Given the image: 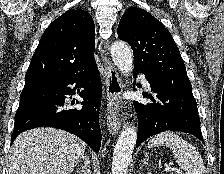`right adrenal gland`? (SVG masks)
<instances>
[{
    "label": "right adrenal gland",
    "mask_w": 224,
    "mask_h": 174,
    "mask_svg": "<svg viewBox=\"0 0 224 174\" xmlns=\"http://www.w3.org/2000/svg\"><path fill=\"white\" fill-rule=\"evenodd\" d=\"M79 174H91L90 171V161L88 159H84V164L81 165L80 168H78Z\"/></svg>",
    "instance_id": "1"
}]
</instances>
